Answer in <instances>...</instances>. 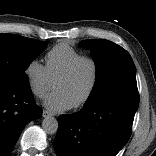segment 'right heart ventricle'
<instances>
[{"label": "right heart ventricle", "mask_w": 156, "mask_h": 156, "mask_svg": "<svg viewBox=\"0 0 156 156\" xmlns=\"http://www.w3.org/2000/svg\"><path fill=\"white\" fill-rule=\"evenodd\" d=\"M83 54L66 42L53 46L45 56V67L52 82Z\"/></svg>", "instance_id": "right-heart-ventricle-1"}]
</instances>
